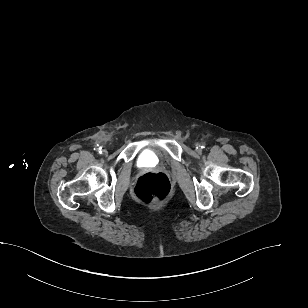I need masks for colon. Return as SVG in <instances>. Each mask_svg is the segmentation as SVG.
<instances>
[{"label": "colon", "instance_id": "colon-1", "mask_svg": "<svg viewBox=\"0 0 308 308\" xmlns=\"http://www.w3.org/2000/svg\"><path fill=\"white\" fill-rule=\"evenodd\" d=\"M133 192L145 204H158L169 196L171 184L163 173H147L137 180Z\"/></svg>", "mask_w": 308, "mask_h": 308}]
</instances>
